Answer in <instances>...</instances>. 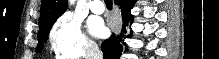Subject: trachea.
<instances>
[{"mask_svg": "<svg viewBox=\"0 0 219 59\" xmlns=\"http://www.w3.org/2000/svg\"><path fill=\"white\" fill-rule=\"evenodd\" d=\"M104 2L108 8H112V0H105Z\"/></svg>", "mask_w": 219, "mask_h": 59, "instance_id": "1", "label": "trachea"}]
</instances>
